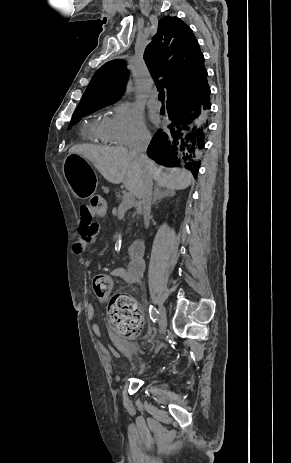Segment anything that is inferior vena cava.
<instances>
[{"label": "inferior vena cava", "instance_id": "602c4592", "mask_svg": "<svg viewBox=\"0 0 291 463\" xmlns=\"http://www.w3.org/2000/svg\"><path fill=\"white\" fill-rule=\"evenodd\" d=\"M151 140L149 133H142L138 140L130 147V154L134 156L144 166V181L141 192V204L143 210L144 223L146 226L149 224L151 201H152V188L153 181L150 172L149 159L145 152Z\"/></svg>", "mask_w": 291, "mask_h": 463}]
</instances>
